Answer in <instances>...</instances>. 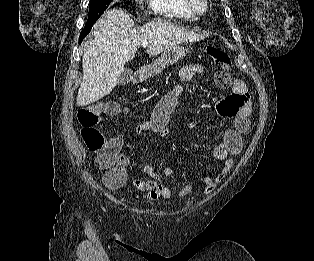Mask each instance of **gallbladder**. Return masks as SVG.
<instances>
[{"mask_svg": "<svg viewBox=\"0 0 314 261\" xmlns=\"http://www.w3.org/2000/svg\"><path fill=\"white\" fill-rule=\"evenodd\" d=\"M132 78V71L129 68H124L118 81H117V85L119 86H124L126 84L129 83V81Z\"/></svg>", "mask_w": 314, "mask_h": 261, "instance_id": "gallbladder-1", "label": "gallbladder"}]
</instances>
